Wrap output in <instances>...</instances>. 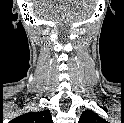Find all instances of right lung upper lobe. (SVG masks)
<instances>
[{"mask_svg":"<svg viewBox=\"0 0 124 123\" xmlns=\"http://www.w3.org/2000/svg\"><path fill=\"white\" fill-rule=\"evenodd\" d=\"M19 123H52L49 111L29 112L14 119Z\"/></svg>","mask_w":124,"mask_h":123,"instance_id":"cb5924a9","label":"right lung upper lobe"}]
</instances>
